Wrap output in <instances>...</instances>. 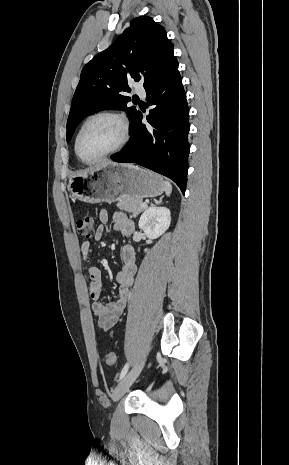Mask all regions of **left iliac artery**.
Masks as SVG:
<instances>
[{"mask_svg": "<svg viewBox=\"0 0 289 465\" xmlns=\"http://www.w3.org/2000/svg\"><path fill=\"white\" fill-rule=\"evenodd\" d=\"M128 368H129V363H126L123 369L121 370L120 377H119L120 380L126 375Z\"/></svg>", "mask_w": 289, "mask_h": 465, "instance_id": "obj_1", "label": "left iliac artery"}]
</instances>
